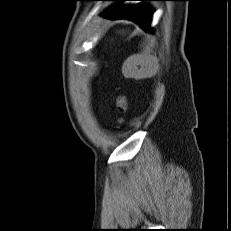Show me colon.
I'll use <instances>...</instances> for the list:
<instances>
[{"label": "colon", "mask_w": 231, "mask_h": 231, "mask_svg": "<svg viewBox=\"0 0 231 231\" xmlns=\"http://www.w3.org/2000/svg\"><path fill=\"white\" fill-rule=\"evenodd\" d=\"M126 107H127V103L124 100V98H119L117 100V108H118V110L121 111V112H124L126 110Z\"/></svg>", "instance_id": "obj_1"}]
</instances>
